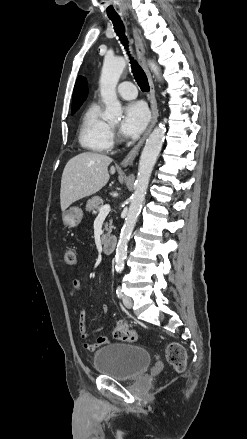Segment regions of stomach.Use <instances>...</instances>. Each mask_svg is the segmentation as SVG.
I'll return each mask as SVG.
<instances>
[{
    "label": "stomach",
    "instance_id": "0dacf381",
    "mask_svg": "<svg viewBox=\"0 0 247 439\" xmlns=\"http://www.w3.org/2000/svg\"><path fill=\"white\" fill-rule=\"evenodd\" d=\"M83 212L79 207H70L63 212L62 220L64 225L73 228L80 224Z\"/></svg>",
    "mask_w": 247,
    "mask_h": 439
}]
</instances>
